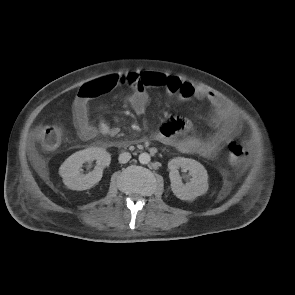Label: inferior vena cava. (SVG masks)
<instances>
[{
  "mask_svg": "<svg viewBox=\"0 0 295 295\" xmlns=\"http://www.w3.org/2000/svg\"><path fill=\"white\" fill-rule=\"evenodd\" d=\"M131 159V154L129 152H122L119 155V162L120 163H127Z\"/></svg>",
  "mask_w": 295,
  "mask_h": 295,
  "instance_id": "1",
  "label": "inferior vena cava"
}]
</instances>
